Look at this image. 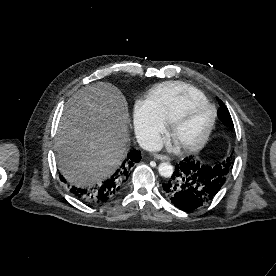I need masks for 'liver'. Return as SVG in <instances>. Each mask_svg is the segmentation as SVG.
<instances>
[{
	"label": "liver",
	"instance_id": "obj_1",
	"mask_svg": "<svg viewBox=\"0 0 276 276\" xmlns=\"http://www.w3.org/2000/svg\"><path fill=\"white\" fill-rule=\"evenodd\" d=\"M129 123L127 103L110 83L75 92L65 104L54 145L62 175L85 187L112 174L127 153Z\"/></svg>",
	"mask_w": 276,
	"mask_h": 276
}]
</instances>
